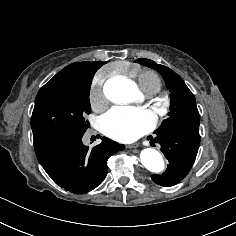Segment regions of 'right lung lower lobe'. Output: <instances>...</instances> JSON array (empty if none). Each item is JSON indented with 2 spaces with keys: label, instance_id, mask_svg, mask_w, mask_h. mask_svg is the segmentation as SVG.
I'll use <instances>...</instances> for the list:
<instances>
[{
  "label": "right lung lower lobe",
  "instance_id": "98d812e1",
  "mask_svg": "<svg viewBox=\"0 0 236 236\" xmlns=\"http://www.w3.org/2000/svg\"><path fill=\"white\" fill-rule=\"evenodd\" d=\"M84 133L57 131L34 138L37 158L59 186L76 193L96 188L107 175V160L125 146L106 137L89 150L82 143Z\"/></svg>",
  "mask_w": 236,
  "mask_h": 236
}]
</instances>
